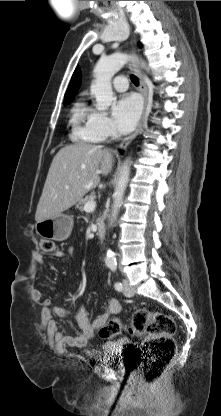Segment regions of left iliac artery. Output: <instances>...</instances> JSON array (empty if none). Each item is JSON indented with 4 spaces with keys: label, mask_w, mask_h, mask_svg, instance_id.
Here are the masks:
<instances>
[{
    "label": "left iliac artery",
    "mask_w": 221,
    "mask_h": 416,
    "mask_svg": "<svg viewBox=\"0 0 221 416\" xmlns=\"http://www.w3.org/2000/svg\"><path fill=\"white\" fill-rule=\"evenodd\" d=\"M109 268H110L112 271H115V270H116V268H117V265H116V264H110V265H109ZM114 287H115V289H116L117 291H122V289H123V285H122V283H121V282H116V283H115V285H114Z\"/></svg>",
    "instance_id": "left-iliac-artery-1"
}]
</instances>
